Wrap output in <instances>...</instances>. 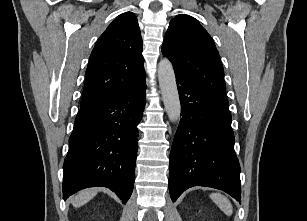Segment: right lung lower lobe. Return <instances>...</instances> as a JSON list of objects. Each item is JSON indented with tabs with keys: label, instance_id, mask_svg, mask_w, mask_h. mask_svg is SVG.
<instances>
[{
	"label": "right lung lower lobe",
	"instance_id": "right-lung-lower-lobe-1",
	"mask_svg": "<svg viewBox=\"0 0 307 221\" xmlns=\"http://www.w3.org/2000/svg\"><path fill=\"white\" fill-rule=\"evenodd\" d=\"M145 90L143 80L130 90L80 108L63 165V199L87 187L104 186L124 204L128 201Z\"/></svg>",
	"mask_w": 307,
	"mask_h": 221
}]
</instances>
